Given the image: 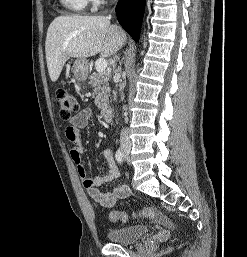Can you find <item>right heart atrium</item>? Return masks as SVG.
<instances>
[{"mask_svg": "<svg viewBox=\"0 0 247 257\" xmlns=\"http://www.w3.org/2000/svg\"><path fill=\"white\" fill-rule=\"evenodd\" d=\"M91 5L92 9H97L100 5L104 3L105 0H87Z\"/></svg>", "mask_w": 247, "mask_h": 257, "instance_id": "right-heart-atrium-1", "label": "right heart atrium"}]
</instances>
